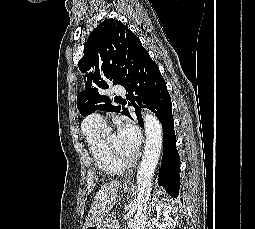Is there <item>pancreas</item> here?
Wrapping results in <instances>:
<instances>
[{"instance_id":"pancreas-1","label":"pancreas","mask_w":255,"mask_h":229,"mask_svg":"<svg viewBox=\"0 0 255 229\" xmlns=\"http://www.w3.org/2000/svg\"><path fill=\"white\" fill-rule=\"evenodd\" d=\"M118 222L116 220H113L111 222V224L109 225L108 229H116L115 225L117 224Z\"/></svg>"}]
</instances>
